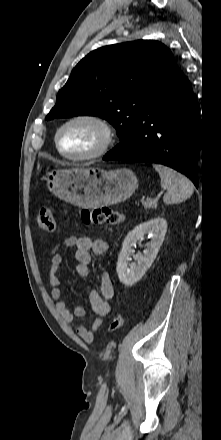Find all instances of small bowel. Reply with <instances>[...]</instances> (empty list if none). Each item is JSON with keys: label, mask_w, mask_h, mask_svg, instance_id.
Listing matches in <instances>:
<instances>
[{"label": "small bowel", "mask_w": 221, "mask_h": 440, "mask_svg": "<svg viewBox=\"0 0 221 440\" xmlns=\"http://www.w3.org/2000/svg\"><path fill=\"white\" fill-rule=\"evenodd\" d=\"M75 247L76 273L81 277H87L90 273L89 265L91 263V253L95 255L104 254L108 245L102 239L92 240L86 236H70L63 239L50 252V267L48 278L51 285V297L57 301L56 310L62 318L71 323L76 318L85 316V309L81 306H75L70 309L63 298L61 283L58 278V271L62 264V256L58 252L60 248ZM113 297L112 281L107 273H103L100 279V291H91L89 301L96 319L91 328L79 326L77 334L87 343H92L98 329L101 327L103 318L111 311L109 300Z\"/></svg>", "instance_id": "c3829d8e"}]
</instances>
